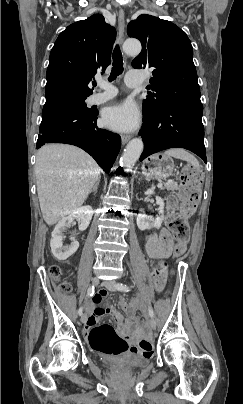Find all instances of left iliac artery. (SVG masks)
I'll return each instance as SVG.
<instances>
[{
    "label": "left iliac artery",
    "instance_id": "1",
    "mask_svg": "<svg viewBox=\"0 0 243 404\" xmlns=\"http://www.w3.org/2000/svg\"><path fill=\"white\" fill-rule=\"evenodd\" d=\"M116 288H117V290H119V291H124V292L130 291L129 286L124 285V284H122V283L116 284ZM148 311H149L150 317L154 318V311H153V309H152L150 306L148 307Z\"/></svg>",
    "mask_w": 243,
    "mask_h": 404
}]
</instances>
